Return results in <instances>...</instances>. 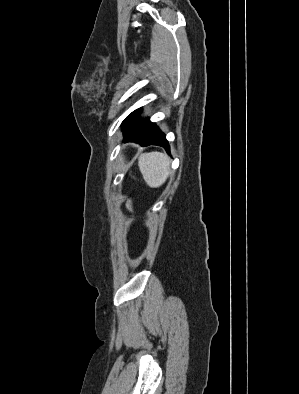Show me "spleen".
<instances>
[{
    "label": "spleen",
    "mask_w": 299,
    "mask_h": 394,
    "mask_svg": "<svg viewBox=\"0 0 299 394\" xmlns=\"http://www.w3.org/2000/svg\"><path fill=\"white\" fill-rule=\"evenodd\" d=\"M170 159L160 152L143 153L138 158V166L147 185L158 188L170 173Z\"/></svg>",
    "instance_id": "1"
}]
</instances>
